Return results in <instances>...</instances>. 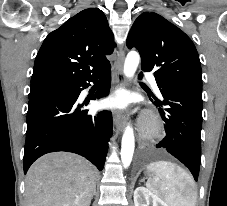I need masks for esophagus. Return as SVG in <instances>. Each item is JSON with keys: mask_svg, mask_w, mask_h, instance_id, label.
Returning <instances> with one entry per match:
<instances>
[{"mask_svg": "<svg viewBox=\"0 0 227 206\" xmlns=\"http://www.w3.org/2000/svg\"><path fill=\"white\" fill-rule=\"evenodd\" d=\"M124 59H125V51L123 47H121L118 52V57L114 64L115 81L117 83V86L124 85L123 71H122ZM113 120L117 130L122 131L125 125L124 112L119 110L115 111Z\"/></svg>", "mask_w": 227, "mask_h": 206, "instance_id": "34e87169", "label": "esophagus"}]
</instances>
